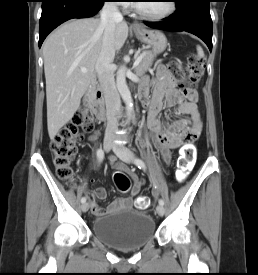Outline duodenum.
Masks as SVG:
<instances>
[{"label":"duodenum","mask_w":258,"mask_h":275,"mask_svg":"<svg viewBox=\"0 0 258 275\" xmlns=\"http://www.w3.org/2000/svg\"><path fill=\"white\" fill-rule=\"evenodd\" d=\"M84 101L99 121H103L105 119L102 93L98 89L96 82L93 80L87 85Z\"/></svg>","instance_id":"duodenum-1"}]
</instances>
